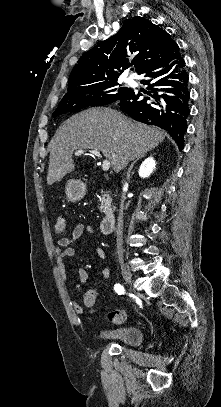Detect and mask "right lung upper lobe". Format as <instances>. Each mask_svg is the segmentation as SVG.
Wrapping results in <instances>:
<instances>
[{
	"label": "right lung upper lobe",
	"mask_w": 221,
	"mask_h": 407,
	"mask_svg": "<svg viewBox=\"0 0 221 407\" xmlns=\"http://www.w3.org/2000/svg\"><path fill=\"white\" fill-rule=\"evenodd\" d=\"M175 42L143 17L127 20L119 32L84 53L74 66L68 92L105 82H117L130 64L138 74L164 57Z\"/></svg>",
	"instance_id": "1"
}]
</instances>
